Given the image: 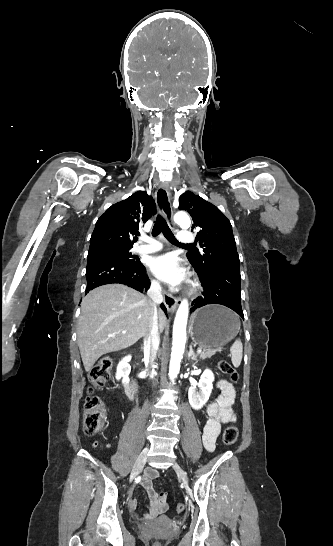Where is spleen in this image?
I'll return each mask as SVG.
<instances>
[{"label":"spleen","instance_id":"obj_1","mask_svg":"<svg viewBox=\"0 0 333 546\" xmlns=\"http://www.w3.org/2000/svg\"><path fill=\"white\" fill-rule=\"evenodd\" d=\"M239 321V319H238ZM240 329V322L238 324V330ZM230 352L232 355L231 361L234 367H239L242 360V352H243V346L240 339L236 340L233 345L230 348Z\"/></svg>","mask_w":333,"mask_h":546}]
</instances>
